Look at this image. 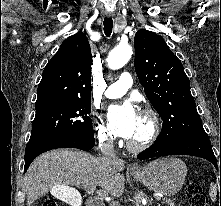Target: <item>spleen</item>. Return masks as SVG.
Instances as JSON below:
<instances>
[{
  "label": "spleen",
  "instance_id": "obj_1",
  "mask_svg": "<svg viewBox=\"0 0 221 206\" xmlns=\"http://www.w3.org/2000/svg\"><path fill=\"white\" fill-rule=\"evenodd\" d=\"M216 190H211L210 191V197L212 199V201H215L216 200Z\"/></svg>",
  "mask_w": 221,
  "mask_h": 206
}]
</instances>
